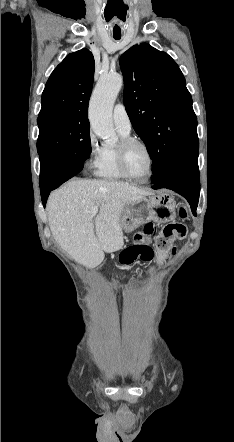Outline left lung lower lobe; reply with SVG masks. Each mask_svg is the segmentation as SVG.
<instances>
[{
  "mask_svg": "<svg viewBox=\"0 0 234 442\" xmlns=\"http://www.w3.org/2000/svg\"><path fill=\"white\" fill-rule=\"evenodd\" d=\"M198 152L199 141L196 137L181 148L166 173L152 181L154 189L168 188L185 197L193 213L196 212L200 194Z\"/></svg>",
  "mask_w": 234,
  "mask_h": 442,
  "instance_id": "obj_1",
  "label": "left lung lower lobe"
}]
</instances>
